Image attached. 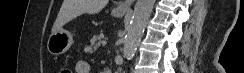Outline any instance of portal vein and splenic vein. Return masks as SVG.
Here are the masks:
<instances>
[{
  "instance_id": "1",
  "label": "portal vein and splenic vein",
  "mask_w": 244,
  "mask_h": 73,
  "mask_svg": "<svg viewBox=\"0 0 244 73\" xmlns=\"http://www.w3.org/2000/svg\"><path fill=\"white\" fill-rule=\"evenodd\" d=\"M107 44L106 41H102V46H105Z\"/></svg>"
}]
</instances>
